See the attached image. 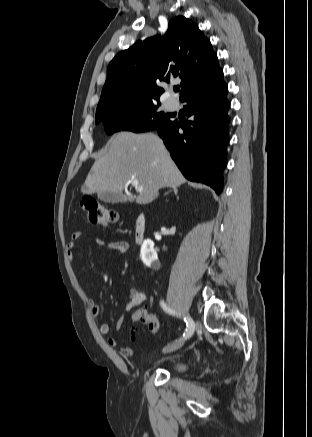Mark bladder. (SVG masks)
<instances>
[{"label":"bladder","mask_w":312,"mask_h":437,"mask_svg":"<svg viewBox=\"0 0 312 437\" xmlns=\"http://www.w3.org/2000/svg\"><path fill=\"white\" fill-rule=\"evenodd\" d=\"M170 367L171 372L175 374H183L189 369L190 364L186 360L175 359L170 362Z\"/></svg>","instance_id":"1"}]
</instances>
